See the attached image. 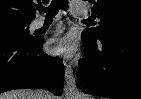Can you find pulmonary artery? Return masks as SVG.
Wrapping results in <instances>:
<instances>
[{
    "label": "pulmonary artery",
    "instance_id": "obj_1",
    "mask_svg": "<svg viewBox=\"0 0 141 99\" xmlns=\"http://www.w3.org/2000/svg\"><path fill=\"white\" fill-rule=\"evenodd\" d=\"M72 13L74 15H82V14L86 13V10L81 4H73ZM32 25H33L34 29L43 28L44 27V19L43 18H37L33 21Z\"/></svg>",
    "mask_w": 141,
    "mask_h": 99
}]
</instances>
